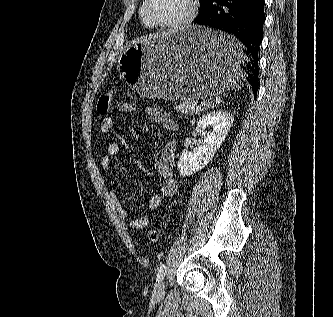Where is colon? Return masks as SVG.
<instances>
[{
  "label": "colon",
  "mask_w": 333,
  "mask_h": 317,
  "mask_svg": "<svg viewBox=\"0 0 333 317\" xmlns=\"http://www.w3.org/2000/svg\"><path fill=\"white\" fill-rule=\"evenodd\" d=\"M113 101V92H107L99 97L97 103V111L101 115H106L110 112ZM150 242L155 243L158 241L159 234L155 229H150L147 233Z\"/></svg>",
  "instance_id": "colon-1"
}]
</instances>
